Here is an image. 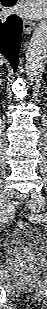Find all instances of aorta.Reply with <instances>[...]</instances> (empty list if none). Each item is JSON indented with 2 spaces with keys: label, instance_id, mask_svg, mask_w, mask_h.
Listing matches in <instances>:
<instances>
[{
  "label": "aorta",
  "instance_id": "aorta-1",
  "mask_svg": "<svg viewBox=\"0 0 47 309\" xmlns=\"http://www.w3.org/2000/svg\"><path fill=\"white\" fill-rule=\"evenodd\" d=\"M47 57V25L40 23L34 30L26 52V72L33 80L41 75Z\"/></svg>",
  "mask_w": 47,
  "mask_h": 309
}]
</instances>
